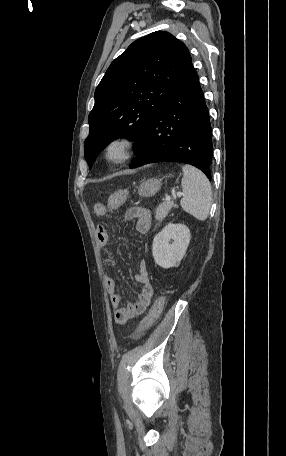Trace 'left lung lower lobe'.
<instances>
[{
	"mask_svg": "<svg viewBox=\"0 0 286 456\" xmlns=\"http://www.w3.org/2000/svg\"><path fill=\"white\" fill-rule=\"evenodd\" d=\"M134 152L137 158L130 168L182 162L199 168L211 180L212 129L193 65L173 87Z\"/></svg>",
	"mask_w": 286,
	"mask_h": 456,
	"instance_id": "left-lung-lower-lobe-1",
	"label": "left lung lower lobe"
}]
</instances>
